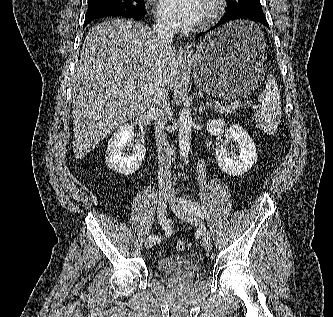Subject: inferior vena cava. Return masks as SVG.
I'll list each match as a JSON object with an SVG mask.
<instances>
[{
  "label": "inferior vena cava",
  "mask_w": 333,
  "mask_h": 317,
  "mask_svg": "<svg viewBox=\"0 0 333 317\" xmlns=\"http://www.w3.org/2000/svg\"><path fill=\"white\" fill-rule=\"evenodd\" d=\"M153 31L160 42L170 45L176 32V27L169 22H158ZM150 112L154 117V128L158 152V185L160 189L171 188V154L172 150L167 140L165 126L167 124L171 108L166 81L159 77L154 85L152 105Z\"/></svg>",
  "instance_id": "1"
}]
</instances>
